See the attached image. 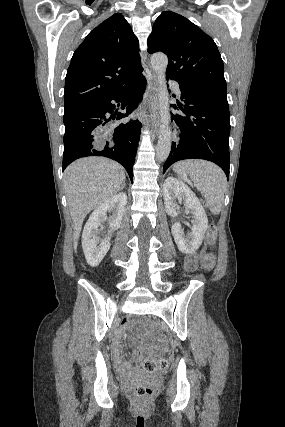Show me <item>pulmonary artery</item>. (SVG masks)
Wrapping results in <instances>:
<instances>
[{"label": "pulmonary artery", "instance_id": "pulmonary-artery-1", "mask_svg": "<svg viewBox=\"0 0 285 427\" xmlns=\"http://www.w3.org/2000/svg\"><path fill=\"white\" fill-rule=\"evenodd\" d=\"M171 84L175 88L176 92L179 93V86H178V84L175 81H171Z\"/></svg>", "mask_w": 285, "mask_h": 427}]
</instances>
